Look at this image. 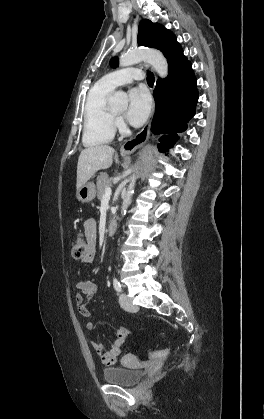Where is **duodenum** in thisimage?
Instances as JSON below:
<instances>
[{"label": "duodenum", "mask_w": 264, "mask_h": 419, "mask_svg": "<svg viewBox=\"0 0 264 419\" xmlns=\"http://www.w3.org/2000/svg\"><path fill=\"white\" fill-rule=\"evenodd\" d=\"M116 229H117V221L116 220L109 221V223L107 224V227H106L107 234L108 235L114 234Z\"/></svg>", "instance_id": "duodenum-1"}]
</instances>
